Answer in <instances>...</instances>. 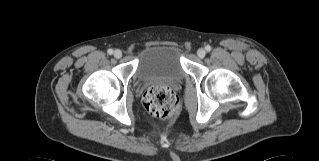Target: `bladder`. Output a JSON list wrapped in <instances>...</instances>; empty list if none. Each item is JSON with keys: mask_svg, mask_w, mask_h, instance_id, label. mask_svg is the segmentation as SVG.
Segmentation results:
<instances>
[{"mask_svg": "<svg viewBox=\"0 0 319 161\" xmlns=\"http://www.w3.org/2000/svg\"><path fill=\"white\" fill-rule=\"evenodd\" d=\"M181 48L176 44H152L144 47L137 61V75L142 81L167 79L179 81L184 68Z\"/></svg>", "mask_w": 319, "mask_h": 161, "instance_id": "1", "label": "bladder"}]
</instances>
